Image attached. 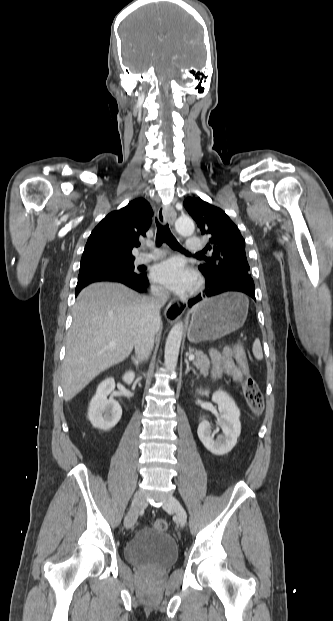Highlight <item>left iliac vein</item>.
<instances>
[{"label": "left iliac vein", "instance_id": "obj_1", "mask_svg": "<svg viewBox=\"0 0 333 621\" xmlns=\"http://www.w3.org/2000/svg\"><path fill=\"white\" fill-rule=\"evenodd\" d=\"M166 511H172L176 514L181 527H184L187 521V514L181 503L172 495L168 496L163 504Z\"/></svg>", "mask_w": 333, "mask_h": 621}]
</instances>
